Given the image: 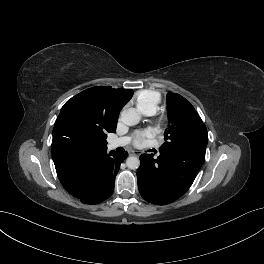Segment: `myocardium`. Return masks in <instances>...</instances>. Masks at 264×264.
I'll return each mask as SVG.
<instances>
[{"instance_id":"myocardium-1","label":"myocardium","mask_w":264,"mask_h":264,"mask_svg":"<svg viewBox=\"0 0 264 264\" xmlns=\"http://www.w3.org/2000/svg\"><path fill=\"white\" fill-rule=\"evenodd\" d=\"M158 120L162 123H165L168 120V116L166 113L162 112L158 115Z\"/></svg>"}]
</instances>
